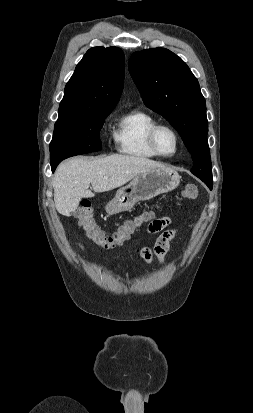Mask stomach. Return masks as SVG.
<instances>
[{"mask_svg":"<svg viewBox=\"0 0 253 413\" xmlns=\"http://www.w3.org/2000/svg\"><path fill=\"white\" fill-rule=\"evenodd\" d=\"M179 183V174L170 168L141 173L116 192L105 210L109 215L130 210L136 202L150 200L159 194L170 192L177 188Z\"/></svg>","mask_w":253,"mask_h":413,"instance_id":"stomach-1","label":"stomach"}]
</instances>
